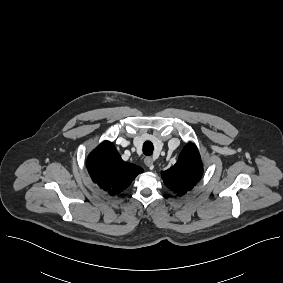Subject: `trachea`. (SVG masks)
I'll return each instance as SVG.
<instances>
[{
	"label": "trachea",
	"mask_w": 283,
	"mask_h": 283,
	"mask_svg": "<svg viewBox=\"0 0 283 283\" xmlns=\"http://www.w3.org/2000/svg\"><path fill=\"white\" fill-rule=\"evenodd\" d=\"M153 150H154V147H153V144L150 141H146L143 144V153H144V155H146V156L152 155L153 154Z\"/></svg>",
	"instance_id": "3493384b"
}]
</instances>
